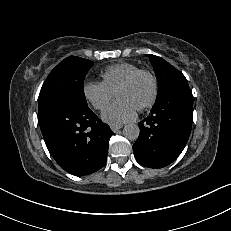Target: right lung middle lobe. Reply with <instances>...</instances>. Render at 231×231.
I'll use <instances>...</instances> for the list:
<instances>
[{
  "label": "right lung middle lobe",
  "instance_id": "right-lung-middle-lobe-1",
  "mask_svg": "<svg viewBox=\"0 0 231 231\" xmlns=\"http://www.w3.org/2000/svg\"><path fill=\"white\" fill-rule=\"evenodd\" d=\"M93 62L70 56L62 60L48 75L38 98V112L60 101L87 105L83 82Z\"/></svg>",
  "mask_w": 231,
  "mask_h": 231
}]
</instances>
